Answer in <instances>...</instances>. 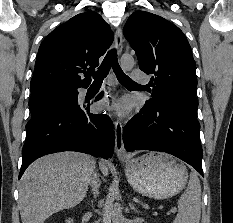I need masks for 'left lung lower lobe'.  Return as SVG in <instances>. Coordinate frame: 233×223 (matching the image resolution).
Returning a JSON list of instances; mask_svg holds the SVG:
<instances>
[{"label":"left lung lower lobe","instance_id":"left-lung-lower-lobe-1","mask_svg":"<svg viewBox=\"0 0 233 223\" xmlns=\"http://www.w3.org/2000/svg\"><path fill=\"white\" fill-rule=\"evenodd\" d=\"M197 110L143 107L123 129L127 151L151 150L172 154L193 166L202 176V147Z\"/></svg>","mask_w":233,"mask_h":223}]
</instances>
